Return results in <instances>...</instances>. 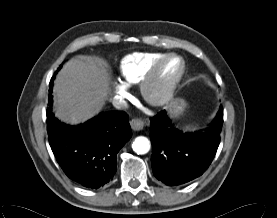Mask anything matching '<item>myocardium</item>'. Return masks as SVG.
Returning a JSON list of instances; mask_svg holds the SVG:
<instances>
[{"mask_svg": "<svg viewBox=\"0 0 277 218\" xmlns=\"http://www.w3.org/2000/svg\"><path fill=\"white\" fill-rule=\"evenodd\" d=\"M171 59H175L179 63L178 71L175 76L164 86L157 87V79L159 71L163 64ZM185 61L184 59L175 54L168 53L159 58L150 68L146 77L141 83V92L144 99L151 105H163L167 103L174 95L175 89L181 81L185 72Z\"/></svg>", "mask_w": 277, "mask_h": 218, "instance_id": "1", "label": "myocardium"}]
</instances>
